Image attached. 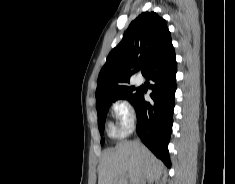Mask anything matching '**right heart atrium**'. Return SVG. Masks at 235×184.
Masks as SVG:
<instances>
[{
  "label": "right heart atrium",
  "mask_w": 235,
  "mask_h": 184,
  "mask_svg": "<svg viewBox=\"0 0 235 184\" xmlns=\"http://www.w3.org/2000/svg\"><path fill=\"white\" fill-rule=\"evenodd\" d=\"M109 115L110 119L106 123L108 136L119 139L130 133L135 121V112L127 100H114L109 105Z\"/></svg>",
  "instance_id": "obj_1"
}]
</instances>
